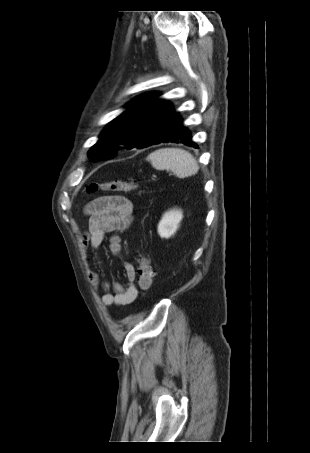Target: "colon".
I'll use <instances>...</instances> for the list:
<instances>
[{
    "label": "colon",
    "mask_w": 310,
    "mask_h": 453,
    "mask_svg": "<svg viewBox=\"0 0 310 453\" xmlns=\"http://www.w3.org/2000/svg\"><path fill=\"white\" fill-rule=\"evenodd\" d=\"M138 187L136 180H115L109 182H93L91 183L87 191L90 194L97 192H129L135 190ZM138 278L137 283L139 290L142 293H146L152 286L153 273L151 268L150 259L145 254H140L138 258Z\"/></svg>",
    "instance_id": "colon-1"
}]
</instances>
